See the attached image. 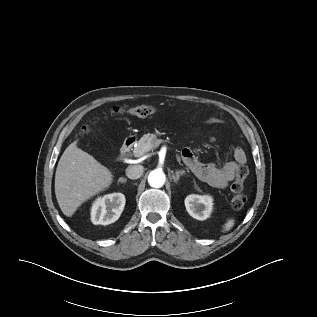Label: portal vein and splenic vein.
Instances as JSON below:
<instances>
[{
  "label": "portal vein and splenic vein",
  "mask_w": 317,
  "mask_h": 317,
  "mask_svg": "<svg viewBox=\"0 0 317 317\" xmlns=\"http://www.w3.org/2000/svg\"><path fill=\"white\" fill-rule=\"evenodd\" d=\"M178 159V162H180L181 161V159L180 158H177Z\"/></svg>",
  "instance_id": "obj_1"
}]
</instances>
